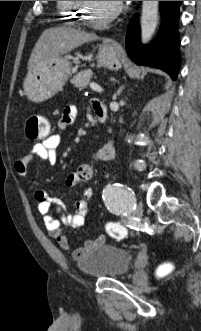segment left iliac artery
<instances>
[{"label": "left iliac artery", "mask_w": 201, "mask_h": 331, "mask_svg": "<svg viewBox=\"0 0 201 331\" xmlns=\"http://www.w3.org/2000/svg\"><path fill=\"white\" fill-rule=\"evenodd\" d=\"M102 197L107 209L123 218H127L130 212L136 208L133 190L120 183L108 185L103 190Z\"/></svg>", "instance_id": "1"}]
</instances>
